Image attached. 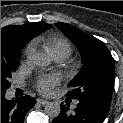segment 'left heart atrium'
<instances>
[{
	"mask_svg": "<svg viewBox=\"0 0 123 123\" xmlns=\"http://www.w3.org/2000/svg\"><path fill=\"white\" fill-rule=\"evenodd\" d=\"M60 81L61 78L57 74H45L37 78L36 87L40 93L47 95Z\"/></svg>",
	"mask_w": 123,
	"mask_h": 123,
	"instance_id": "left-heart-atrium-1",
	"label": "left heart atrium"
}]
</instances>
